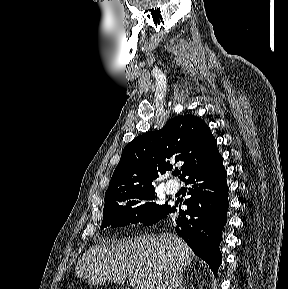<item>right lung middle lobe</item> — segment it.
<instances>
[{
  "label": "right lung middle lobe",
  "mask_w": 288,
  "mask_h": 289,
  "mask_svg": "<svg viewBox=\"0 0 288 289\" xmlns=\"http://www.w3.org/2000/svg\"><path fill=\"white\" fill-rule=\"evenodd\" d=\"M154 200V187L105 194L102 228L157 223L170 206L157 204Z\"/></svg>",
  "instance_id": "dd1d6c3e"
}]
</instances>
